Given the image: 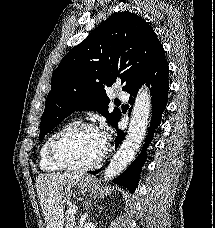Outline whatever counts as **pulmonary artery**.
<instances>
[{
	"instance_id": "obj_1",
	"label": "pulmonary artery",
	"mask_w": 215,
	"mask_h": 228,
	"mask_svg": "<svg viewBox=\"0 0 215 228\" xmlns=\"http://www.w3.org/2000/svg\"><path fill=\"white\" fill-rule=\"evenodd\" d=\"M113 88L111 90L112 95L114 96H124V97H119V102H130V97H126L125 94V84H114Z\"/></svg>"
}]
</instances>
